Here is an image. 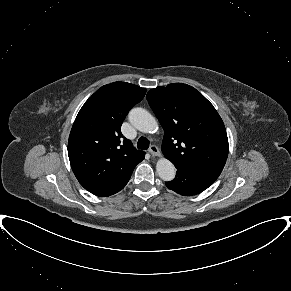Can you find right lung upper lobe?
Returning a JSON list of instances; mask_svg holds the SVG:
<instances>
[{
    "label": "right lung upper lobe",
    "mask_w": 291,
    "mask_h": 291,
    "mask_svg": "<svg viewBox=\"0 0 291 291\" xmlns=\"http://www.w3.org/2000/svg\"><path fill=\"white\" fill-rule=\"evenodd\" d=\"M145 93V88L114 82L99 88L79 111L69 136L68 156L79 183L92 194L106 197L119 192L144 159V152H134L120 128Z\"/></svg>",
    "instance_id": "1"
}]
</instances>
